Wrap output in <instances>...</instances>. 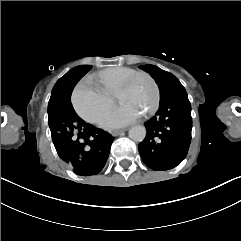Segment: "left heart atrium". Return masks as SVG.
Returning a JSON list of instances; mask_svg holds the SVG:
<instances>
[{"instance_id": "39dd6f15", "label": "left heart atrium", "mask_w": 241, "mask_h": 241, "mask_svg": "<svg viewBox=\"0 0 241 241\" xmlns=\"http://www.w3.org/2000/svg\"><path fill=\"white\" fill-rule=\"evenodd\" d=\"M137 118L138 114L132 110L114 109L107 114L101 124L106 128H117L128 125Z\"/></svg>"}]
</instances>
